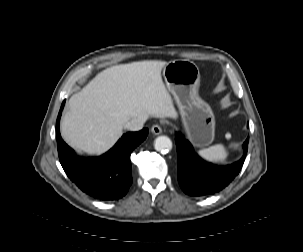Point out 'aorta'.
I'll return each instance as SVG.
<instances>
[{
    "label": "aorta",
    "instance_id": "aorta-1",
    "mask_svg": "<svg viewBox=\"0 0 303 252\" xmlns=\"http://www.w3.org/2000/svg\"><path fill=\"white\" fill-rule=\"evenodd\" d=\"M154 148L161 153H167L172 149V141L167 136H159L154 141Z\"/></svg>",
    "mask_w": 303,
    "mask_h": 252
}]
</instances>
